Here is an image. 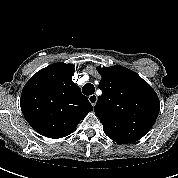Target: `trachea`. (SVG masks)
Here are the masks:
<instances>
[{"mask_svg": "<svg viewBox=\"0 0 178 178\" xmlns=\"http://www.w3.org/2000/svg\"><path fill=\"white\" fill-rule=\"evenodd\" d=\"M82 92L84 95H87V96L92 95L95 92L94 85L91 83L85 84L82 88Z\"/></svg>", "mask_w": 178, "mask_h": 178, "instance_id": "obj_1", "label": "trachea"}]
</instances>
